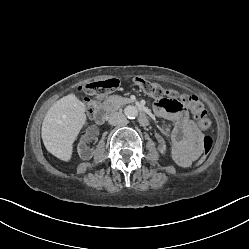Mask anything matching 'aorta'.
I'll return each instance as SVG.
<instances>
[{"label":"aorta","mask_w":249,"mask_h":249,"mask_svg":"<svg viewBox=\"0 0 249 249\" xmlns=\"http://www.w3.org/2000/svg\"><path fill=\"white\" fill-rule=\"evenodd\" d=\"M124 114L129 119H134L138 115V110L135 106L128 105L124 109Z\"/></svg>","instance_id":"762f6f07"}]
</instances>
